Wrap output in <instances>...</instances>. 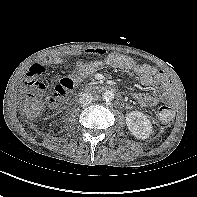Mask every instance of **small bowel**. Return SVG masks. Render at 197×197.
I'll return each instance as SVG.
<instances>
[{"label":"small bowel","instance_id":"obj_1","mask_svg":"<svg viewBox=\"0 0 197 197\" xmlns=\"http://www.w3.org/2000/svg\"><path fill=\"white\" fill-rule=\"evenodd\" d=\"M84 53L89 56H100L104 54V51L101 49H88ZM69 54L72 56H77L80 55L81 52L71 51ZM63 61L64 59L59 55L46 56L41 58L30 68L28 72L29 77L32 78L27 83L29 87L30 83L36 81L35 78L45 73L47 66L60 65L63 63ZM105 64L115 69H120L136 74L138 81L143 86L148 87L156 84L160 88V93L158 95L149 92H138L134 94L136 101L143 107H152L156 105L160 100L168 101L173 97V85L165 77L163 72L154 66L148 64H139L129 56L119 53L108 54L105 58ZM101 66L102 62L96 60L77 62V74L74 76V80L78 81L81 78L90 76Z\"/></svg>","mask_w":197,"mask_h":197}]
</instances>
